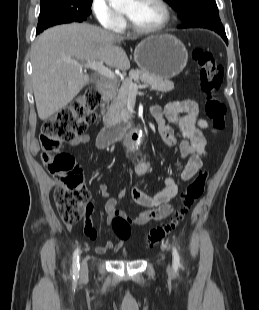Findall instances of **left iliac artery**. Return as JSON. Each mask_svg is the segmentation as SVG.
Listing matches in <instances>:
<instances>
[{
  "instance_id": "left-iliac-artery-1",
  "label": "left iliac artery",
  "mask_w": 259,
  "mask_h": 310,
  "mask_svg": "<svg viewBox=\"0 0 259 310\" xmlns=\"http://www.w3.org/2000/svg\"><path fill=\"white\" fill-rule=\"evenodd\" d=\"M172 255H173V268L175 271H177L181 264H180V256L176 247L172 248Z\"/></svg>"
}]
</instances>
